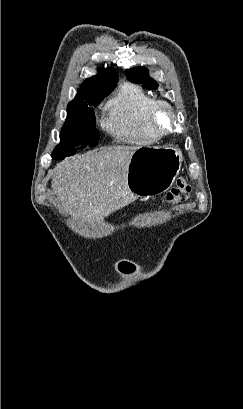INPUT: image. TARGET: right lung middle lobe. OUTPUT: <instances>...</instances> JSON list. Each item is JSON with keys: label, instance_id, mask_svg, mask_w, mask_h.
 I'll use <instances>...</instances> for the list:
<instances>
[{"label": "right lung middle lobe", "instance_id": "1", "mask_svg": "<svg viewBox=\"0 0 243 409\" xmlns=\"http://www.w3.org/2000/svg\"><path fill=\"white\" fill-rule=\"evenodd\" d=\"M103 95L96 106L105 96ZM61 141L52 153V159H64L76 153L77 149L98 144L99 133L95 127V115L91 108H67V118L60 133Z\"/></svg>", "mask_w": 243, "mask_h": 409}]
</instances>
